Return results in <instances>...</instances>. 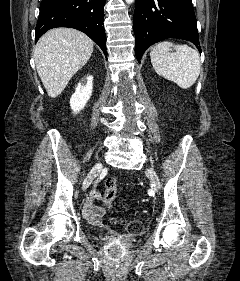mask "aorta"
<instances>
[{
    "label": "aorta",
    "instance_id": "obj_1",
    "mask_svg": "<svg viewBox=\"0 0 240 281\" xmlns=\"http://www.w3.org/2000/svg\"><path fill=\"white\" fill-rule=\"evenodd\" d=\"M127 4H132L134 0H125Z\"/></svg>",
    "mask_w": 240,
    "mask_h": 281
}]
</instances>
